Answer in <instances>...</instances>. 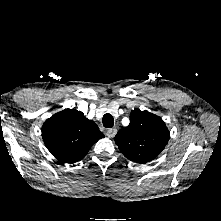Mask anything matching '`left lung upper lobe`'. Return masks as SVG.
Segmentation results:
<instances>
[{"mask_svg":"<svg viewBox=\"0 0 221 221\" xmlns=\"http://www.w3.org/2000/svg\"><path fill=\"white\" fill-rule=\"evenodd\" d=\"M169 140L165 122L148 111L134 109L130 124L118 131L115 142L129 160L146 163L156 158Z\"/></svg>","mask_w":221,"mask_h":221,"instance_id":"1","label":"left lung upper lobe"}]
</instances>
